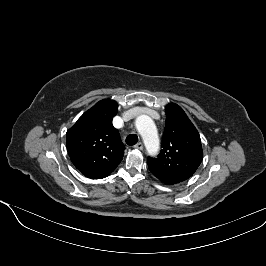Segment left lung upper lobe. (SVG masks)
Masks as SVG:
<instances>
[{
    "mask_svg": "<svg viewBox=\"0 0 266 266\" xmlns=\"http://www.w3.org/2000/svg\"><path fill=\"white\" fill-rule=\"evenodd\" d=\"M166 126L162 150L157 158H148L151 173L166 185L190 178L203 158L201 139L183 109L170 103L165 107Z\"/></svg>",
    "mask_w": 266,
    "mask_h": 266,
    "instance_id": "5c2ea615",
    "label": "left lung upper lobe"
}]
</instances>
